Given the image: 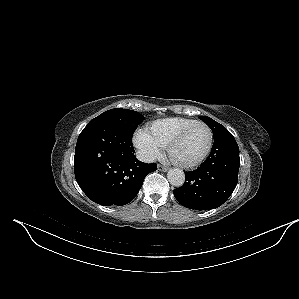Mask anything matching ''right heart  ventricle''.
<instances>
[{"instance_id":"obj_1","label":"right heart ventricle","mask_w":299,"mask_h":299,"mask_svg":"<svg viewBox=\"0 0 299 299\" xmlns=\"http://www.w3.org/2000/svg\"><path fill=\"white\" fill-rule=\"evenodd\" d=\"M197 122L195 119L184 117H167L150 122L146 132L162 147H166L169 141L182 129Z\"/></svg>"}]
</instances>
